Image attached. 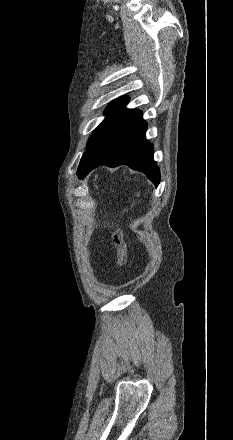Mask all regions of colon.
Masks as SVG:
<instances>
[{
  "mask_svg": "<svg viewBox=\"0 0 233 440\" xmlns=\"http://www.w3.org/2000/svg\"><path fill=\"white\" fill-rule=\"evenodd\" d=\"M137 196L138 194L136 193L130 206L135 203ZM127 209L128 208L124 209L123 213L126 212ZM112 241L117 251V266L122 270L127 262V247L123 239V229L121 227L117 228L114 232Z\"/></svg>",
  "mask_w": 233,
  "mask_h": 440,
  "instance_id": "obj_1",
  "label": "colon"
}]
</instances>
